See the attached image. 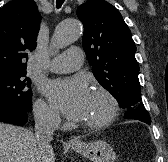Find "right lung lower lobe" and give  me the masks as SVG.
Masks as SVG:
<instances>
[{
  "instance_id": "obj_1",
  "label": "right lung lower lobe",
  "mask_w": 168,
  "mask_h": 162,
  "mask_svg": "<svg viewBox=\"0 0 168 162\" xmlns=\"http://www.w3.org/2000/svg\"><path fill=\"white\" fill-rule=\"evenodd\" d=\"M28 113L29 112L20 109L0 107V122L22 126L27 122Z\"/></svg>"
}]
</instances>
